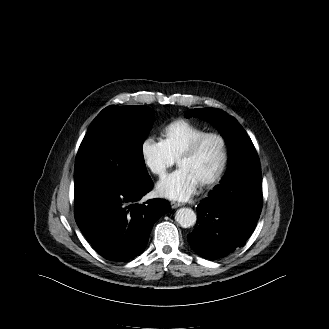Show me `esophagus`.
Masks as SVG:
<instances>
[{"label":"esophagus","mask_w":329,"mask_h":329,"mask_svg":"<svg viewBox=\"0 0 329 329\" xmlns=\"http://www.w3.org/2000/svg\"><path fill=\"white\" fill-rule=\"evenodd\" d=\"M170 205H171L172 208H178V207L182 206L183 204L178 203V202H175V201H172L170 203Z\"/></svg>","instance_id":"34e87169"}]
</instances>
